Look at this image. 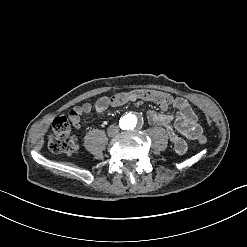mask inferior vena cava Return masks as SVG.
<instances>
[{
	"label": "inferior vena cava",
	"mask_w": 247,
	"mask_h": 247,
	"mask_svg": "<svg viewBox=\"0 0 247 247\" xmlns=\"http://www.w3.org/2000/svg\"><path fill=\"white\" fill-rule=\"evenodd\" d=\"M107 133L109 137H115L119 133V127L116 125H110Z\"/></svg>",
	"instance_id": "inferior-vena-cava-1"
}]
</instances>
